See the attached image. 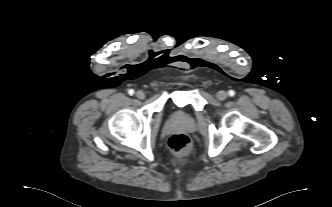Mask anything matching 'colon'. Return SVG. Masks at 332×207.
I'll return each instance as SVG.
<instances>
[{
    "instance_id": "1",
    "label": "colon",
    "mask_w": 332,
    "mask_h": 207,
    "mask_svg": "<svg viewBox=\"0 0 332 207\" xmlns=\"http://www.w3.org/2000/svg\"><path fill=\"white\" fill-rule=\"evenodd\" d=\"M171 152L177 156H186L192 151V143L184 134H175L168 141Z\"/></svg>"
}]
</instances>
